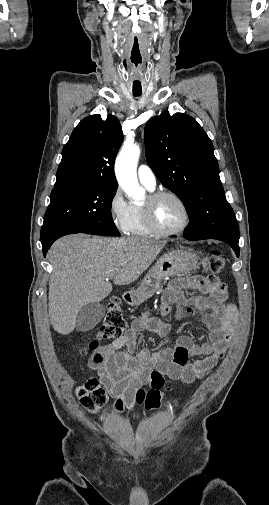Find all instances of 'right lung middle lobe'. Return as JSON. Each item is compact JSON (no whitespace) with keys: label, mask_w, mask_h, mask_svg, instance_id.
<instances>
[{"label":"right lung middle lobe","mask_w":269,"mask_h":505,"mask_svg":"<svg viewBox=\"0 0 269 505\" xmlns=\"http://www.w3.org/2000/svg\"><path fill=\"white\" fill-rule=\"evenodd\" d=\"M116 190V186L102 184H69L54 187L45 213L41 239L58 229L119 236L120 233L110 212Z\"/></svg>","instance_id":"right-lung-middle-lobe-1"}]
</instances>
